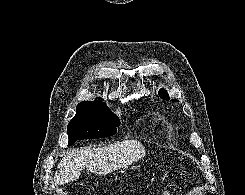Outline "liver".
<instances>
[{"mask_svg": "<svg viewBox=\"0 0 245 195\" xmlns=\"http://www.w3.org/2000/svg\"><path fill=\"white\" fill-rule=\"evenodd\" d=\"M145 154V148L138 140H123L103 147L72 150L67 152L58 164L54 184L73 182L85 168L96 175L127 168Z\"/></svg>", "mask_w": 245, "mask_h": 195, "instance_id": "6515ba94", "label": "liver"}]
</instances>
